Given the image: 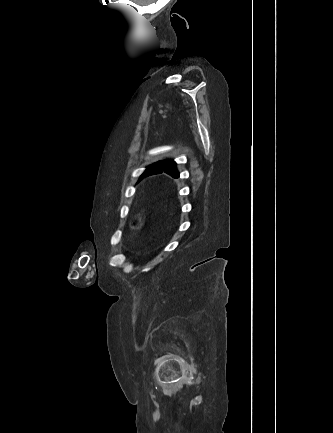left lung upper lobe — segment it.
Wrapping results in <instances>:
<instances>
[{"label": "left lung upper lobe", "instance_id": "1", "mask_svg": "<svg viewBox=\"0 0 333 433\" xmlns=\"http://www.w3.org/2000/svg\"><path fill=\"white\" fill-rule=\"evenodd\" d=\"M162 171H164L167 174H170L175 178L179 177V173L176 170V163L173 160H163L154 163L153 165L148 167L144 173H146L148 176L152 174L162 173Z\"/></svg>", "mask_w": 333, "mask_h": 433}]
</instances>
